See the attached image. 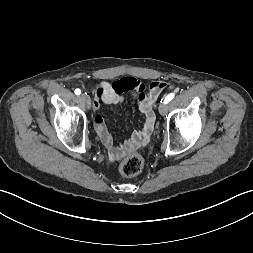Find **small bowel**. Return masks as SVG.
Listing matches in <instances>:
<instances>
[{"instance_id":"1","label":"small bowel","mask_w":253,"mask_h":253,"mask_svg":"<svg viewBox=\"0 0 253 253\" xmlns=\"http://www.w3.org/2000/svg\"><path fill=\"white\" fill-rule=\"evenodd\" d=\"M164 81H154L150 84L149 93H145L142 83L132 77H124L111 84L103 81L95 92L94 108L98 110L100 103L119 105L124 101L122 93L132 91L131 97L135 100L139 111L144 116L142 127L135 130L131 136L120 144H115L113 137L102 116L94 117L95 130L103 143L108 149L109 158L116 161L129 154L133 150L145 145L154 128L155 114L153 112V103L160 93L166 88Z\"/></svg>"}]
</instances>
